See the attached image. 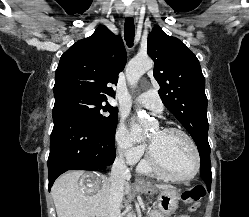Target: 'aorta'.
I'll return each mask as SVG.
<instances>
[{"label": "aorta", "mask_w": 249, "mask_h": 217, "mask_svg": "<svg viewBox=\"0 0 249 217\" xmlns=\"http://www.w3.org/2000/svg\"><path fill=\"white\" fill-rule=\"evenodd\" d=\"M154 66L153 61L149 57H135L132 59L126 69V76L131 85H136L140 77L148 70L152 69ZM137 114L139 116L140 123L144 128H150L153 126V121L147 119L143 115V111L138 110ZM127 217H134L130 212Z\"/></svg>", "instance_id": "obj_1"}]
</instances>
